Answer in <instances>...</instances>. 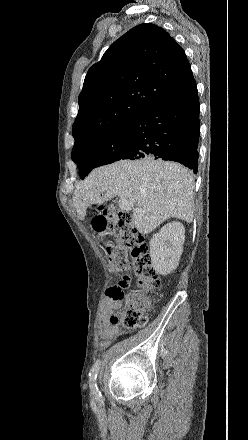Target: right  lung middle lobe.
<instances>
[{"mask_svg": "<svg viewBox=\"0 0 248 440\" xmlns=\"http://www.w3.org/2000/svg\"><path fill=\"white\" fill-rule=\"evenodd\" d=\"M129 142L130 129L129 125L125 124L72 149V160L77 163L81 179L93 168L120 160L127 151Z\"/></svg>", "mask_w": 248, "mask_h": 440, "instance_id": "dd1d6c3e", "label": "right lung middle lobe"}]
</instances>
